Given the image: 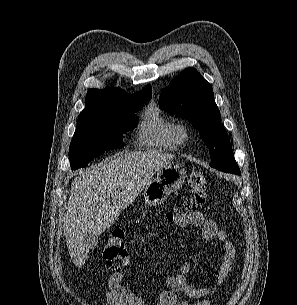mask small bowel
<instances>
[{
    "instance_id": "obj_1",
    "label": "small bowel",
    "mask_w": 297,
    "mask_h": 305,
    "mask_svg": "<svg viewBox=\"0 0 297 305\" xmlns=\"http://www.w3.org/2000/svg\"><path fill=\"white\" fill-rule=\"evenodd\" d=\"M174 223L178 227L196 226L201 228L202 238L205 241L217 240L224 246V254L219 267L216 284L212 287H197L190 283L187 274L191 265L185 262L180 272L173 274L167 279V287L158 296L153 305H191L189 302L181 300L180 294H185L195 299H205L211 296L218 286L222 284L230 273L235 258V248L229 241L225 231L220 229L217 224L206 219L202 213L194 211L190 213H177L174 216ZM106 298L108 305H148L137 294L123 284L122 274L112 273L107 281ZM209 301L204 300L202 305H208Z\"/></svg>"
}]
</instances>
